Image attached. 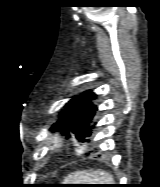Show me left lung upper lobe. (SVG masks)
Masks as SVG:
<instances>
[{"instance_id": "obj_1", "label": "left lung upper lobe", "mask_w": 160, "mask_h": 187, "mask_svg": "<svg viewBox=\"0 0 160 187\" xmlns=\"http://www.w3.org/2000/svg\"><path fill=\"white\" fill-rule=\"evenodd\" d=\"M95 98L96 94L92 91L74 96L65 104L60 112L59 120L53 124L52 128L60 132L71 130L81 142L89 141L85 140V136L91 135L88 124L97 111V108L91 104V100Z\"/></svg>"}]
</instances>
